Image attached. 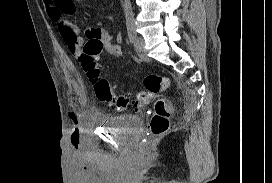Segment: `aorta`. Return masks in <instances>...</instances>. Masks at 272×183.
Instances as JSON below:
<instances>
[{
	"mask_svg": "<svg viewBox=\"0 0 272 183\" xmlns=\"http://www.w3.org/2000/svg\"><path fill=\"white\" fill-rule=\"evenodd\" d=\"M123 6H124V15H125L126 23L127 24L133 23L134 22V15H133L130 0H124Z\"/></svg>",
	"mask_w": 272,
	"mask_h": 183,
	"instance_id": "obj_1",
	"label": "aorta"
}]
</instances>
